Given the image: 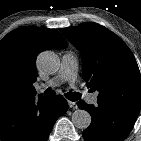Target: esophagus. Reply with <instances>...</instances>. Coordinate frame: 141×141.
Masks as SVG:
<instances>
[{
    "instance_id": "esophagus-1",
    "label": "esophagus",
    "mask_w": 141,
    "mask_h": 141,
    "mask_svg": "<svg viewBox=\"0 0 141 141\" xmlns=\"http://www.w3.org/2000/svg\"><path fill=\"white\" fill-rule=\"evenodd\" d=\"M68 105L71 109H77L78 108L77 103L73 102V101H68Z\"/></svg>"
}]
</instances>
